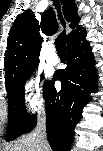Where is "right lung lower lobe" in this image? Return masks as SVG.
Wrapping results in <instances>:
<instances>
[{
    "mask_svg": "<svg viewBox=\"0 0 103 151\" xmlns=\"http://www.w3.org/2000/svg\"><path fill=\"white\" fill-rule=\"evenodd\" d=\"M85 37L83 30L67 45V67L54 75L62 83L61 90L57 92L50 82L44 93L47 138L54 151H69L74 127L97 87L94 58ZM36 123L35 117L25 133Z\"/></svg>",
    "mask_w": 103,
    "mask_h": 151,
    "instance_id": "1",
    "label": "right lung lower lobe"
}]
</instances>
